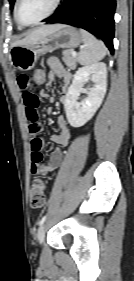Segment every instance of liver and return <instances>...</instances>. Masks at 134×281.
Returning a JSON list of instances; mask_svg holds the SVG:
<instances>
[{"instance_id":"obj_1","label":"liver","mask_w":134,"mask_h":281,"mask_svg":"<svg viewBox=\"0 0 134 281\" xmlns=\"http://www.w3.org/2000/svg\"><path fill=\"white\" fill-rule=\"evenodd\" d=\"M60 27H61L60 24H55V25H45V26L36 28L33 31H31L25 38H23L19 41H16L13 44V47L17 46V45H27V44L36 42L39 39L45 37L46 35L58 30Z\"/></svg>"}]
</instances>
